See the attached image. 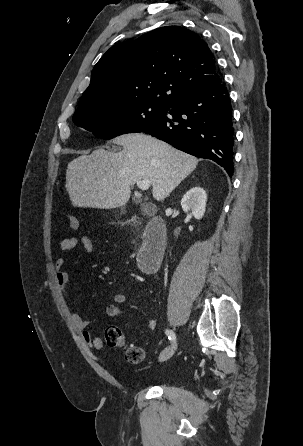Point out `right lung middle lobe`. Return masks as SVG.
<instances>
[{"instance_id":"1","label":"right lung middle lobe","mask_w":303,"mask_h":446,"mask_svg":"<svg viewBox=\"0 0 303 446\" xmlns=\"http://www.w3.org/2000/svg\"><path fill=\"white\" fill-rule=\"evenodd\" d=\"M170 107L149 101L103 105L74 114L73 122L102 139H111L125 133L142 132L163 117Z\"/></svg>"}]
</instances>
